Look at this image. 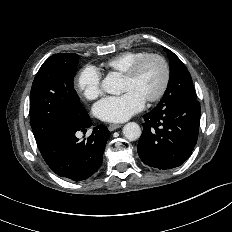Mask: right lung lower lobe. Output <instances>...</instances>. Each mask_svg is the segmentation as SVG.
Segmentation results:
<instances>
[{
    "label": "right lung lower lobe",
    "instance_id": "98d812e1",
    "mask_svg": "<svg viewBox=\"0 0 232 232\" xmlns=\"http://www.w3.org/2000/svg\"><path fill=\"white\" fill-rule=\"evenodd\" d=\"M91 125L88 114L80 122H62L40 150L47 165L58 176L82 181L91 177L101 166L110 136L106 126H96L92 134L82 141L75 136L77 131H86Z\"/></svg>",
    "mask_w": 232,
    "mask_h": 232
}]
</instances>
